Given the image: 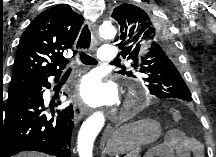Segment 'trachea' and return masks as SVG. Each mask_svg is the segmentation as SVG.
Here are the masks:
<instances>
[{"label":"trachea","mask_w":216,"mask_h":157,"mask_svg":"<svg viewBox=\"0 0 216 157\" xmlns=\"http://www.w3.org/2000/svg\"><path fill=\"white\" fill-rule=\"evenodd\" d=\"M89 41H90V31H89L88 27H85L84 30L82 31V34H81V44L84 45L86 42H89ZM80 59L84 64H87V65L97 64L96 59L92 58L91 56L87 55L84 52L80 53ZM70 72H71V69L69 68L66 71V73L68 74Z\"/></svg>","instance_id":"obj_1"}]
</instances>
